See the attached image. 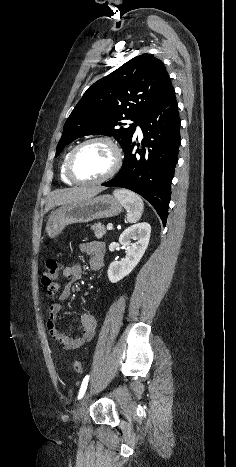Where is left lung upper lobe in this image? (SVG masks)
Returning a JSON list of instances; mask_svg holds the SVG:
<instances>
[{"mask_svg": "<svg viewBox=\"0 0 236 467\" xmlns=\"http://www.w3.org/2000/svg\"><path fill=\"white\" fill-rule=\"evenodd\" d=\"M171 87L161 60L150 54L129 60L87 89L64 125L56 157L73 140L89 134L113 136L125 148L136 125ZM125 120L135 123L127 126Z\"/></svg>", "mask_w": 236, "mask_h": 467, "instance_id": "1", "label": "left lung upper lobe"}]
</instances>
